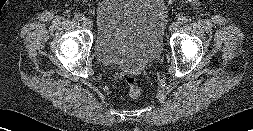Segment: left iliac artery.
Masks as SVG:
<instances>
[{"label":"left iliac artery","mask_w":253,"mask_h":131,"mask_svg":"<svg viewBox=\"0 0 253 131\" xmlns=\"http://www.w3.org/2000/svg\"><path fill=\"white\" fill-rule=\"evenodd\" d=\"M188 21V18L186 16H181L178 18V23L184 24Z\"/></svg>","instance_id":"obj_1"}]
</instances>
